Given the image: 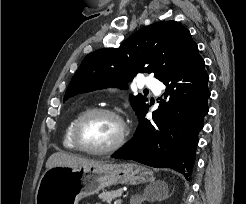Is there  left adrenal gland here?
<instances>
[{
  "label": "left adrenal gland",
  "mask_w": 246,
  "mask_h": 204,
  "mask_svg": "<svg viewBox=\"0 0 246 204\" xmlns=\"http://www.w3.org/2000/svg\"><path fill=\"white\" fill-rule=\"evenodd\" d=\"M146 200V193L143 195L139 196V204H141L142 201ZM137 201L135 200V197H132L130 200V204H136Z\"/></svg>",
  "instance_id": "obj_1"
}]
</instances>
